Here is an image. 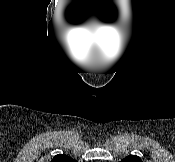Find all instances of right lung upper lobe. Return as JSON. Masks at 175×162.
I'll return each instance as SVG.
<instances>
[{"mask_svg": "<svg viewBox=\"0 0 175 162\" xmlns=\"http://www.w3.org/2000/svg\"><path fill=\"white\" fill-rule=\"evenodd\" d=\"M51 162H76V161L65 154H59L54 156Z\"/></svg>", "mask_w": 175, "mask_h": 162, "instance_id": "obj_1", "label": "right lung upper lobe"}]
</instances>
